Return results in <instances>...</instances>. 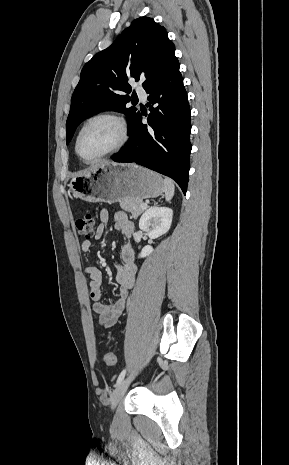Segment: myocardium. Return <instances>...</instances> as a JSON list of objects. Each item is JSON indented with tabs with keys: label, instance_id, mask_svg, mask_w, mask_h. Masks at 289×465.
Listing matches in <instances>:
<instances>
[{
	"label": "myocardium",
	"instance_id": "myocardium-1",
	"mask_svg": "<svg viewBox=\"0 0 289 465\" xmlns=\"http://www.w3.org/2000/svg\"><path fill=\"white\" fill-rule=\"evenodd\" d=\"M98 119H106V120H110L112 122H114L118 128H119V131H120V139L118 141V143L111 149L101 153L100 155L94 157V158H91V159H85L81 156L80 152H79V140H80V137L83 133V131L85 130V128L93 121L95 120H98ZM128 138H129V131H128V125H127V122L126 120L124 119L123 116L115 113V112H111V111H99V112H96L92 115H90L89 117H87L85 119V121L82 123L81 127L79 128L78 132H77V135L75 137V143H74V149H75V153L77 155V157L84 163H87V164H91V163H94L96 161H99L100 159L104 158V157H107L109 155H112L116 152H118L119 150H121L125 144L127 143L128 141Z\"/></svg>",
	"mask_w": 289,
	"mask_h": 465
}]
</instances>
